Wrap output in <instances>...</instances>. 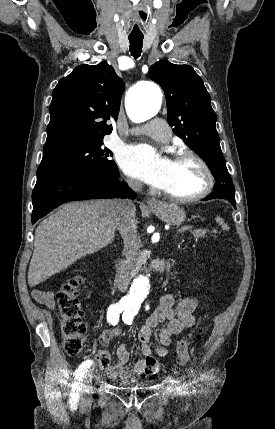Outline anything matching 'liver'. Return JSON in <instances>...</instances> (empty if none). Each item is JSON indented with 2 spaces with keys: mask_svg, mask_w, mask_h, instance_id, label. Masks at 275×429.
Returning <instances> with one entry per match:
<instances>
[{
  "mask_svg": "<svg viewBox=\"0 0 275 429\" xmlns=\"http://www.w3.org/2000/svg\"><path fill=\"white\" fill-rule=\"evenodd\" d=\"M118 200L73 202L61 206L35 230L28 283L36 286L114 240ZM135 225L137 220L134 218Z\"/></svg>",
  "mask_w": 275,
  "mask_h": 429,
  "instance_id": "liver-1",
  "label": "liver"
}]
</instances>
